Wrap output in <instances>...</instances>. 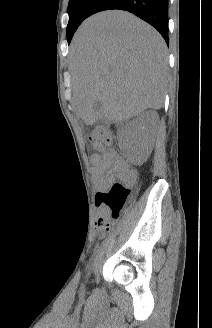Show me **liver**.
Here are the masks:
<instances>
[{
	"label": "liver",
	"instance_id": "1",
	"mask_svg": "<svg viewBox=\"0 0 212 328\" xmlns=\"http://www.w3.org/2000/svg\"><path fill=\"white\" fill-rule=\"evenodd\" d=\"M69 69L72 104L86 124L125 121L163 105L166 44L153 27L128 12L109 10L87 18L72 39Z\"/></svg>",
	"mask_w": 212,
	"mask_h": 328
}]
</instances>
